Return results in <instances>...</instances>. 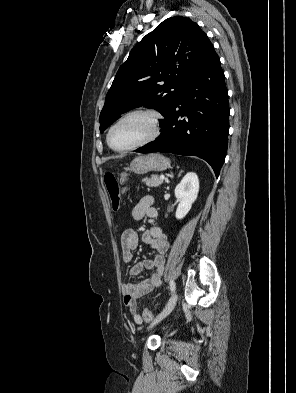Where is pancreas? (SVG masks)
<instances>
[{
  "label": "pancreas",
  "mask_w": 296,
  "mask_h": 393,
  "mask_svg": "<svg viewBox=\"0 0 296 393\" xmlns=\"http://www.w3.org/2000/svg\"><path fill=\"white\" fill-rule=\"evenodd\" d=\"M143 181L148 187H158L163 183V180L156 175H152L150 178H145Z\"/></svg>",
  "instance_id": "cf45deb5"
}]
</instances>
